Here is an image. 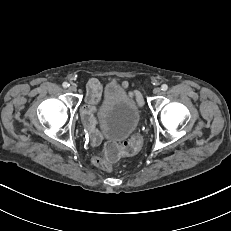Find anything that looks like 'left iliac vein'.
<instances>
[{"label":"left iliac vein","instance_id":"left-iliac-vein-1","mask_svg":"<svg viewBox=\"0 0 231 231\" xmlns=\"http://www.w3.org/2000/svg\"><path fill=\"white\" fill-rule=\"evenodd\" d=\"M161 90H162L161 88L156 87V88H154L153 93L156 94V95H159L162 92Z\"/></svg>","mask_w":231,"mask_h":231}]
</instances>
